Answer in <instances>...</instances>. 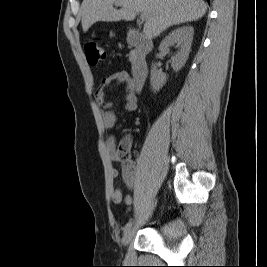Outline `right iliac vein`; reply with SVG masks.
Returning a JSON list of instances; mask_svg holds the SVG:
<instances>
[{"mask_svg": "<svg viewBox=\"0 0 267 267\" xmlns=\"http://www.w3.org/2000/svg\"><path fill=\"white\" fill-rule=\"evenodd\" d=\"M133 235H134V229H133V228L128 229V230L125 232V234H124V236H123V238H122V244H123L124 246H127V245L130 243V241H131Z\"/></svg>", "mask_w": 267, "mask_h": 267, "instance_id": "1", "label": "right iliac vein"}]
</instances>
